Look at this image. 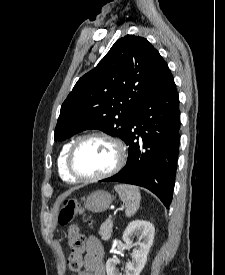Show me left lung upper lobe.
I'll return each instance as SVG.
<instances>
[{"instance_id": "left-lung-upper-lobe-1", "label": "left lung upper lobe", "mask_w": 225, "mask_h": 275, "mask_svg": "<svg viewBox=\"0 0 225 275\" xmlns=\"http://www.w3.org/2000/svg\"><path fill=\"white\" fill-rule=\"evenodd\" d=\"M170 73L147 39L127 35L75 84L61 106L54 140L63 141L87 129L125 138L149 95Z\"/></svg>"}]
</instances>
